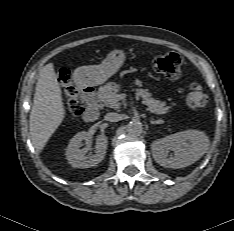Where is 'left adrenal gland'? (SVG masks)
Segmentation results:
<instances>
[{
    "instance_id": "left-adrenal-gland-1",
    "label": "left adrenal gland",
    "mask_w": 234,
    "mask_h": 231,
    "mask_svg": "<svg viewBox=\"0 0 234 231\" xmlns=\"http://www.w3.org/2000/svg\"><path fill=\"white\" fill-rule=\"evenodd\" d=\"M150 123H151V124H162L163 121H162V120H157V121L151 120Z\"/></svg>"
}]
</instances>
